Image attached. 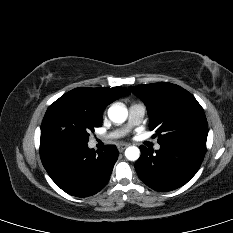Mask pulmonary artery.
Instances as JSON below:
<instances>
[{
  "mask_svg": "<svg viewBox=\"0 0 233 233\" xmlns=\"http://www.w3.org/2000/svg\"><path fill=\"white\" fill-rule=\"evenodd\" d=\"M145 112H146V108L143 104H140V103L131 104L129 107V117H128L127 125L119 130L109 133L104 138L114 139V138L122 137L129 131L130 128L142 122ZM155 148L158 150L160 148V145L156 144Z\"/></svg>",
  "mask_w": 233,
  "mask_h": 233,
  "instance_id": "obj_1",
  "label": "pulmonary artery"
}]
</instances>
